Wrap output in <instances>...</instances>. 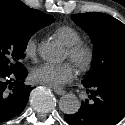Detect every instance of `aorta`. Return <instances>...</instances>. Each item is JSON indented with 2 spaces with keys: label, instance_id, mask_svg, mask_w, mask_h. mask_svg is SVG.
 <instances>
[{
  "label": "aorta",
  "instance_id": "aorta-1",
  "mask_svg": "<svg viewBox=\"0 0 125 125\" xmlns=\"http://www.w3.org/2000/svg\"><path fill=\"white\" fill-rule=\"evenodd\" d=\"M39 55L48 62H59L62 59L60 46L53 41H46L39 45ZM60 110L68 115L76 113L80 108V101L74 94H65L59 101Z\"/></svg>",
  "mask_w": 125,
  "mask_h": 125
}]
</instances>
